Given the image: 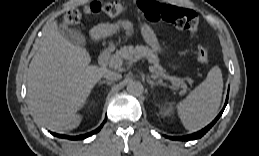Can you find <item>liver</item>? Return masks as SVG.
Wrapping results in <instances>:
<instances>
[{
    "instance_id": "6515ba94",
    "label": "liver",
    "mask_w": 259,
    "mask_h": 156,
    "mask_svg": "<svg viewBox=\"0 0 259 156\" xmlns=\"http://www.w3.org/2000/svg\"><path fill=\"white\" fill-rule=\"evenodd\" d=\"M90 62L84 48L61 35L56 21L47 27L29 65L27 97L34 116L51 131L72 130L81 123L77 111L107 71Z\"/></svg>"
}]
</instances>
